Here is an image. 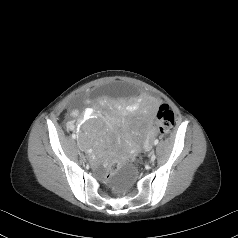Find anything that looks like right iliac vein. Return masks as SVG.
<instances>
[{
    "instance_id": "63e3f726",
    "label": "right iliac vein",
    "mask_w": 238,
    "mask_h": 238,
    "mask_svg": "<svg viewBox=\"0 0 238 238\" xmlns=\"http://www.w3.org/2000/svg\"><path fill=\"white\" fill-rule=\"evenodd\" d=\"M76 152H77V155H78L79 157H82V153L80 152L79 149H76Z\"/></svg>"
}]
</instances>
